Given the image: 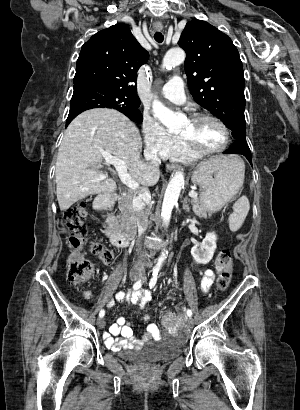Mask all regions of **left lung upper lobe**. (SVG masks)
<instances>
[{"mask_svg": "<svg viewBox=\"0 0 300 410\" xmlns=\"http://www.w3.org/2000/svg\"><path fill=\"white\" fill-rule=\"evenodd\" d=\"M194 100L219 118L235 141L246 142L242 62L232 40L201 20L189 21L178 42Z\"/></svg>", "mask_w": 300, "mask_h": 410, "instance_id": "left-lung-upper-lobe-1", "label": "left lung upper lobe"}]
</instances>
